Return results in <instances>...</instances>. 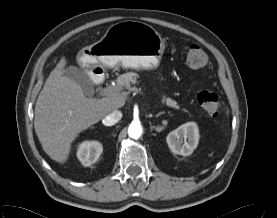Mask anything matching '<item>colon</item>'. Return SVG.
Segmentation results:
<instances>
[{"label":"colon","instance_id":"colon-1","mask_svg":"<svg viewBox=\"0 0 277 218\" xmlns=\"http://www.w3.org/2000/svg\"><path fill=\"white\" fill-rule=\"evenodd\" d=\"M206 52L198 45H192L186 55V61L190 68L198 69L207 63ZM198 102L201 108L210 116L216 117L219 114L220 100L214 91L204 90L198 94Z\"/></svg>","mask_w":277,"mask_h":218}]
</instances>
